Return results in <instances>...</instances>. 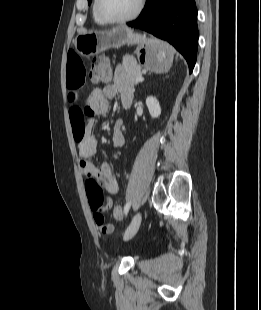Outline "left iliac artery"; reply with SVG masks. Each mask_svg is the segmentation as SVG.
<instances>
[{
    "instance_id": "obj_1",
    "label": "left iliac artery",
    "mask_w": 261,
    "mask_h": 310,
    "mask_svg": "<svg viewBox=\"0 0 261 310\" xmlns=\"http://www.w3.org/2000/svg\"><path fill=\"white\" fill-rule=\"evenodd\" d=\"M130 206H131V202H128L125 206H124V213L125 215H127L129 209H130Z\"/></svg>"
}]
</instances>
